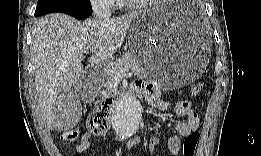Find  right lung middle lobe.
I'll return each mask as SVG.
<instances>
[{
  "mask_svg": "<svg viewBox=\"0 0 261 156\" xmlns=\"http://www.w3.org/2000/svg\"><path fill=\"white\" fill-rule=\"evenodd\" d=\"M79 8L92 9L90 0H38L35 16L50 12L70 13Z\"/></svg>",
  "mask_w": 261,
  "mask_h": 156,
  "instance_id": "right-lung-middle-lobe-1",
  "label": "right lung middle lobe"
}]
</instances>
